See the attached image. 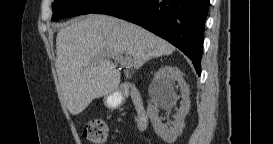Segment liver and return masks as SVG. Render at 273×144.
<instances>
[{
	"mask_svg": "<svg viewBox=\"0 0 273 144\" xmlns=\"http://www.w3.org/2000/svg\"><path fill=\"white\" fill-rule=\"evenodd\" d=\"M174 50L161 37L112 16L91 14L68 23L56 37V69L69 112L78 115L93 99L117 90L121 75L107 57L109 53L130 56L138 69Z\"/></svg>",
	"mask_w": 273,
	"mask_h": 144,
	"instance_id": "6515ba94",
	"label": "liver"
}]
</instances>
